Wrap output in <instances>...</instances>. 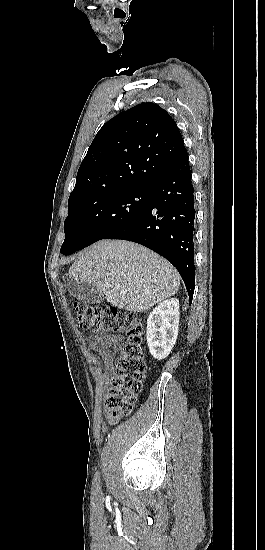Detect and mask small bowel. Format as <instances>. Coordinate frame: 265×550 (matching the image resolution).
<instances>
[{
  "label": "small bowel",
  "mask_w": 265,
  "mask_h": 550,
  "mask_svg": "<svg viewBox=\"0 0 265 550\" xmlns=\"http://www.w3.org/2000/svg\"><path fill=\"white\" fill-rule=\"evenodd\" d=\"M122 343V337L105 334L96 335L88 339L89 347L101 357L104 366L107 369L112 365L115 356L114 350L118 349ZM89 358L93 362L96 359L93 354H90Z\"/></svg>",
  "instance_id": "1"
}]
</instances>
